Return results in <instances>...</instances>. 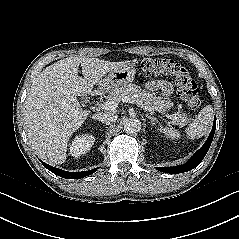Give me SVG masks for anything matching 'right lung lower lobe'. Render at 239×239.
Masks as SVG:
<instances>
[{
	"label": "right lung lower lobe",
	"instance_id": "98d812e1",
	"mask_svg": "<svg viewBox=\"0 0 239 239\" xmlns=\"http://www.w3.org/2000/svg\"><path fill=\"white\" fill-rule=\"evenodd\" d=\"M41 163L43 164V166L45 168H47L48 170H50L51 172H53L54 174L61 176L63 178L66 179H81L83 177H86L88 175L93 174L98 168L92 169V170H88V171H81V172H67L55 167H52L44 162L41 161Z\"/></svg>",
	"mask_w": 239,
	"mask_h": 239
}]
</instances>
